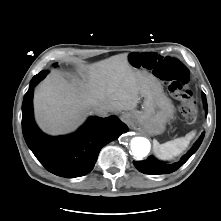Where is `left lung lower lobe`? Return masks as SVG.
I'll use <instances>...</instances> for the list:
<instances>
[{
	"label": "left lung lower lobe",
	"instance_id": "obj_1",
	"mask_svg": "<svg viewBox=\"0 0 221 221\" xmlns=\"http://www.w3.org/2000/svg\"><path fill=\"white\" fill-rule=\"evenodd\" d=\"M203 101H204V107L207 110V103H206V96L203 93ZM204 132L198 139V141L195 143V145L191 148V150L181 158L180 161L172 163V164H165L163 162L157 161L153 157H149L147 160L143 161H134L135 167L142 173L145 174H151V175H159V174H167L174 172L179 167H181L199 148L203 138H204Z\"/></svg>",
	"mask_w": 221,
	"mask_h": 221
}]
</instances>
